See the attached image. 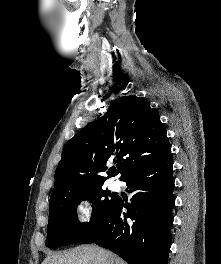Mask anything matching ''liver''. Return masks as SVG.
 Segmentation results:
<instances>
[{"mask_svg": "<svg viewBox=\"0 0 221 264\" xmlns=\"http://www.w3.org/2000/svg\"><path fill=\"white\" fill-rule=\"evenodd\" d=\"M42 264H126L110 251L95 245L78 246L64 254L47 256Z\"/></svg>", "mask_w": 221, "mask_h": 264, "instance_id": "obj_1", "label": "liver"}]
</instances>
